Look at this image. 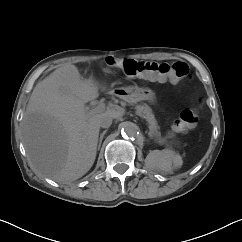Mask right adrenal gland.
I'll return each mask as SVG.
<instances>
[{
	"label": "right adrenal gland",
	"mask_w": 242,
	"mask_h": 242,
	"mask_svg": "<svg viewBox=\"0 0 242 242\" xmlns=\"http://www.w3.org/2000/svg\"><path fill=\"white\" fill-rule=\"evenodd\" d=\"M106 132H107V130H104V131L100 134L99 144H98V150H99L100 147H101L102 140H103V137H104V135L106 134Z\"/></svg>",
	"instance_id": "2a0ac1e0"
}]
</instances>
